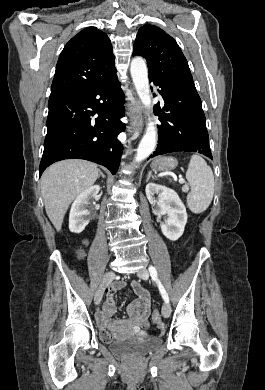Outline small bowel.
<instances>
[{"label": "small bowel", "mask_w": 265, "mask_h": 390, "mask_svg": "<svg viewBox=\"0 0 265 390\" xmlns=\"http://www.w3.org/2000/svg\"><path fill=\"white\" fill-rule=\"evenodd\" d=\"M138 298L131 302L126 309L128 320L138 334H144V329L149 326L151 298L149 293L137 282L131 283ZM124 283H117L111 286L107 291V299L102 312L98 314V323L104 340L111 339L108 331V320L111 319L116 312L113 302V295L116 290L122 288Z\"/></svg>", "instance_id": "obj_1"}]
</instances>
